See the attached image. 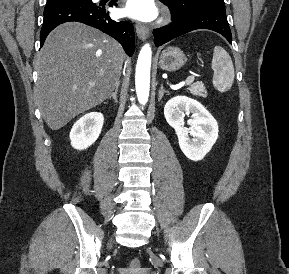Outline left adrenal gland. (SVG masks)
Returning <instances> with one entry per match:
<instances>
[{
    "label": "left adrenal gland",
    "instance_id": "left-adrenal-gland-1",
    "mask_svg": "<svg viewBox=\"0 0 289 274\" xmlns=\"http://www.w3.org/2000/svg\"><path fill=\"white\" fill-rule=\"evenodd\" d=\"M164 93H168L167 91L164 90L163 85H161V88L159 90V97H158V101H161Z\"/></svg>",
    "mask_w": 289,
    "mask_h": 274
}]
</instances>
